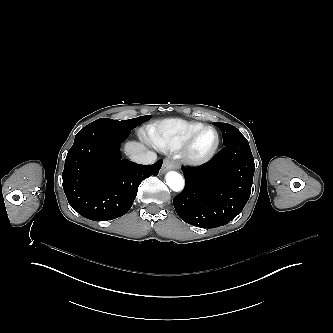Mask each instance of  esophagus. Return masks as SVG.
<instances>
[{
  "label": "esophagus",
  "mask_w": 333,
  "mask_h": 333,
  "mask_svg": "<svg viewBox=\"0 0 333 333\" xmlns=\"http://www.w3.org/2000/svg\"><path fill=\"white\" fill-rule=\"evenodd\" d=\"M178 167H179V164H178L176 161H174V160H172V159H170V158H166V159L164 160V163H163V167H162L161 172H162V173H165V172L168 171V170L176 169V168H178Z\"/></svg>",
  "instance_id": "obj_1"
}]
</instances>
